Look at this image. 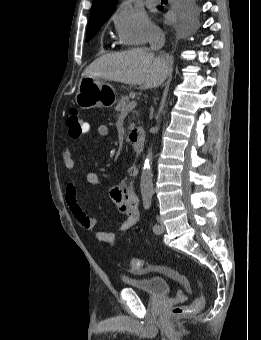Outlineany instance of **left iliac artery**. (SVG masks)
Listing matches in <instances>:
<instances>
[{
  "label": "left iliac artery",
  "mask_w": 261,
  "mask_h": 340,
  "mask_svg": "<svg viewBox=\"0 0 261 340\" xmlns=\"http://www.w3.org/2000/svg\"><path fill=\"white\" fill-rule=\"evenodd\" d=\"M143 204L145 209H149L152 204V193H145L143 195ZM153 231H157L159 229V226L157 224L153 225L152 227Z\"/></svg>",
  "instance_id": "obj_1"
}]
</instances>
